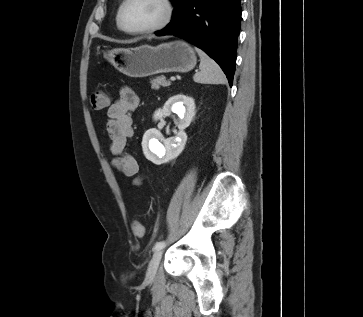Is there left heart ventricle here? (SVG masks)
Listing matches in <instances>:
<instances>
[{"instance_id":"1","label":"left heart ventricle","mask_w":363,"mask_h":317,"mask_svg":"<svg viewBox=\"0 0 363 317\" xmlns=\"http://www.w3.org/2000/svg\"><path fill=\"white\" fill-rule=\"evenodd\" d=\"M163 15L160 0H130L124 9L123 21L129 29H142L158 23Z\"/></svg>"}]
</instances>
